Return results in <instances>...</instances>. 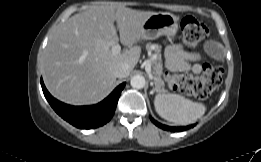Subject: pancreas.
<instances>
[{
  "label": "pancreas",
  "mask_w": 261,
  "mask_h": 162,
  "mask_svg": "<svg viewBox=\"0 0 261 162\" xmlns=\"http://www.w3.org/2000/svg\"><path fill=\"white\" fill-rule=\"evenodd\" d=\"M146 49L151 52L150 64L152 67V75L154 77V90L156 92H165L164 81L161 79L163 73L161 46L148 43Z\"/></svg>",
  "instance_id": "obj_1"
}]
</instances>
